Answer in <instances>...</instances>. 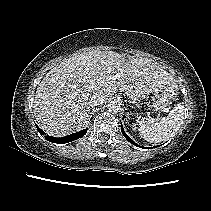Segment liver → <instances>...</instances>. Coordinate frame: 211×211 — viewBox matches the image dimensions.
Masks as SVG:
<instances>
[{
	"mask_svg": "<svg viewBox=\"0 0 211 211\" xmlns=\"http://www.w3.org/2000/svg\"><path fill=\"white\" fill-rule=\"evenodd\" d=\"M120 74L117 80L109 77ZM173 78L150 59L94 50L63 60L38 85L33 113L40 127L52 136L81 130L87 123L93 95L104 100L133 89L149 94Z\"/></svg>",
	"mask_w": 211,
	"mask_h": 211,
	"instance_id": "6515ba94",
	"label": "liver"
}]
</instances>
